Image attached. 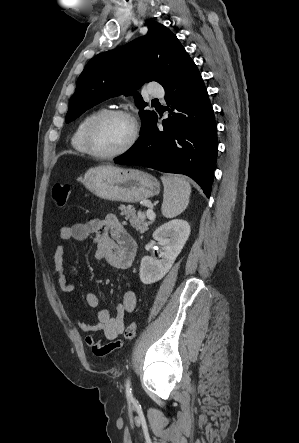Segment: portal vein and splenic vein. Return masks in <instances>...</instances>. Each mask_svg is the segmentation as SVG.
I'll return each mask as SVG.
<instances>
[{"label":"portal vein and splenic vein","instance_id":"portal-vein-and-splenic-vein-1","mask_svg":"<svg viewBox=\"0 0 299 443\" xmlns=\"http://www.w3.org/2000/svg\"><path fill=\"white\" fill-rule=\"evenodd\" d=\"M148 219L153 222L155 220V213L152 210L146 212Z\"/></svg>","mask_w":299,"mask_h":443}]
</instances>
